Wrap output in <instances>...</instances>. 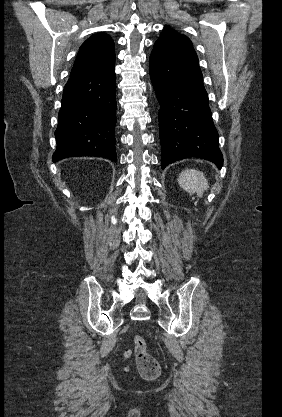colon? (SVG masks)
Returning <instances> with one entry per match:
<instances>
[{
  "mask_svg": "<svg viewBox=\"0 0 282 417\" xmlns=\"http://www.w3.org/2000/svg\"><path fill=\"white\" fill-rule=\"evenodd\" d=\"M134 348L137 349V361L135 364L138 365L139 374L146 380H153L158 377L161 366L151 354L147 351V342L140 335L134 336ZM132 351H128L127 355L131 356Z\"/></svg>",
  "mask_w": 282,
  "mask_h": 417,
  "instance_id": "colon-1",
  "label": "colon"
}]
</instances>
